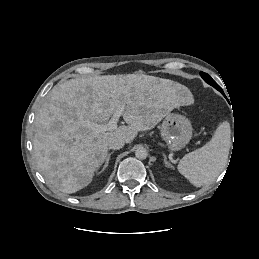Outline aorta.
<instances>
[{
	"instance_id": "aorta-1",
	"label": "aorta",
	"mask_w": 259,
	"mask_h": 259,
	"mask_svg": "<svg viewBox=\"0 0 259 259\" xmlns=\"http://www.w3.org/2000/svg\"><path fill=\"white\" fill-rule=\"evenodd\" d=\"M135 156L138 159H145L147 157V150L143 147H139L135 150Z\"/></svg>"
}]
</instances>
